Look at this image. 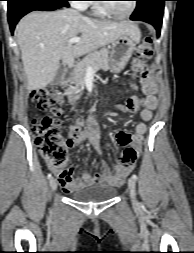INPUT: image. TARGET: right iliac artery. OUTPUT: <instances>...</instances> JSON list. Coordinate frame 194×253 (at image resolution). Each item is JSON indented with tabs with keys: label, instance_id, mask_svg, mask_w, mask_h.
Returning a JSON list of instances; mask_svg holds the SVG:
<instances>
[{
	"label": "right iliac artery",
	"instance_id": "1",
	"mask_svg": "<svg viewBox=\"0 0 194 253\" xmlns=\"http://www.w3.org/2000/svg\"><path fill=\"white\" fill-rule=\"evenodd\" d=\"M47 177H48V179H51L52 178V174L49 173Z\"/></svg>",
	"mask_w": 194,
	"mask_h": 253
}]
</instances>
